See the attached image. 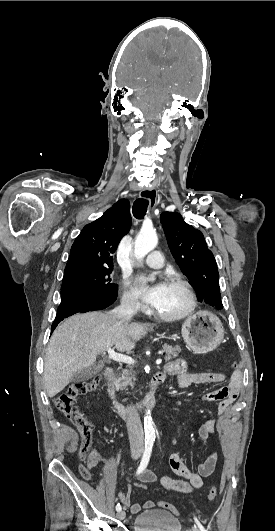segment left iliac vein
<instances>
[{"instance_id":"1","label":"left iliac vein","mask_w":275,"mask_h":531,"mask_svg":"<svg viewBox=\"0 0 275 531\" xmlns=\"http://www.w3.org/2000/svg\"><path fill=\"white\" fill-rule=\"evenodd\" d=\"M192 531H198V529L196 527H193Z\"/></svg>"}]
</instances>
